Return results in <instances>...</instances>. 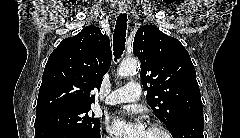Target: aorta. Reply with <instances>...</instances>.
I'll use <instances>...</instances> for the list:
<instances>
[{
    "label": "aorta",
    "instance_id": "762f6f07",
    "mask_svg": "<svg viewBox=\"0 0 240 138\" xmlns=\"http://www.w3.org/2000/svg\"><path fill=\"white\" fill-rule=\"evenodd\" d=\"M140 64L136 59H126L122 61L118 68V75L120 77H127L139 68Z\"/></svg>",
    "mask_w": 240,
    "mask_h": 138
}]
</instances>
